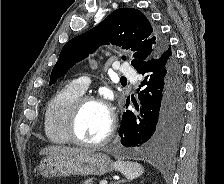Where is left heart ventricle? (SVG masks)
Instances as JSON below:
<instances>
[{
  "label": "left heart ventricle",
  "instance_id": "obj_1",
  "mask_svg": "<svg viewBox=\"0 0 224 184\" xmlns=\"http://www.w3.org/2000/svg\"><path fill=\"white\" fill-rule=\"evenodd\" d=\"M109 114L107 109L97 103L87 104L78 120V136L88 142L101 140L108 132Z\"/></svg>",
  "mask_w": 224,
  "mask_h": 184
}]
</instances>
